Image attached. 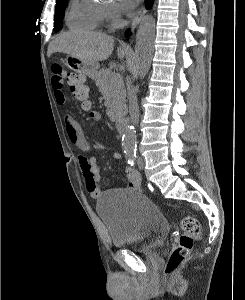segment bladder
Masks as SVG:
<instances>
[{
  "mask_svg": "<svg viewBox=\"0 0 245 300\" xmlns=\"http://www.w3.org/2000/svg\"><path fill=\"white\" fill-rule=\"evenodd\" d=\"M104 222L110 245L149 254L167 239L170 227L156 206L132 189L105 192L96 204Z\"/></svg>",
  "mask_w": 245,
  "mask_h": 300,
  "instance_id": "1",
  "label": "bladder"
}]
</instances>
